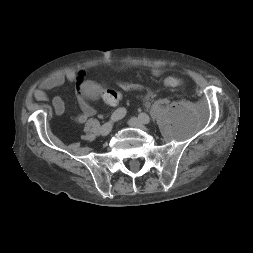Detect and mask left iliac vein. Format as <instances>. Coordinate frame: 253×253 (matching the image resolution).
<instances>
[{"label": "left iliac vein", "instance_id": "left-iliac-vein-1", "mask_svg": "<svg viewBox=\"0 0 253 253\" xmlns=\"http://www.w3.org/2000/svg\"><path fill=\"white\" fill-rule=\"evenodd\" d=\"M148 121V122H147ZM147 121L144 122L136 117H131L128 121L129 125L132 126V127H135V128H139V129H142V130H145L146 127H145V124H148L150 122V117L148 116L147 118Z\"/></svg>", "mask_w": 253, "mask_h": 253}]
</instances>
